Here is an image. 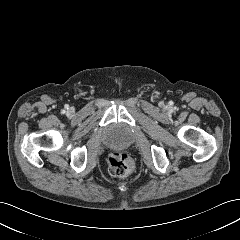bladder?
<instances>
[{
  "label": "bladder",
  "instance_id": "bladder-1",
  "mask_svg": "<svg viewBox=\"0 0 240 240\" xmlns=\"http://www.w3.org/2000/svg\"><path fill=\"white\" fill-rule=\"evenodd\" d=\"M133 142L129 131L121 125H112L106 133L105 144L110 148H125Z\"/></svg>",
  "mask_w": 240,
  "mask_h": 240
}]
</instances>
